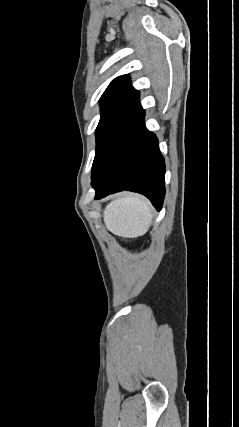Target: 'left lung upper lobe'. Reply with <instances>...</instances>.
Segmentation results:
<instances>
[{
    "label": "left lung upper lobe",
    "mask_w": 239,
    "mask_h": 427,
    "mask_svg": "<svg viewBox=\"0 0 239 427\" xmlns=\"http://www.w3.org/2000/svg\"><path fill=\"white\" fill-rule=\"evenodd\" d=\"M101 117L96 128L95 165L113 136L139 111V91L130 85L128 75L115 78L100 98Z\"/></svg>",
    "instance_id": "left-lung-upper-lobe-1"
}]
</instances>
